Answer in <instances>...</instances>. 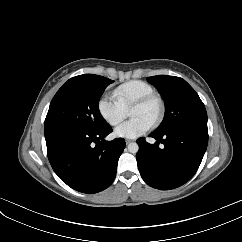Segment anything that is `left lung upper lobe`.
<instances>
[{
	"label": "left lung upper lobe",
	"instance_id": "left-lung-upper-lobe-1",
	"mask_svg": "<svg viewBox=\"0 0 242 242\" xmlns=\"http://www.w3.org/2000/svg\"><path fill=\"white\" fill-rule=\"evenodd\" d=\"M147 80L159 90L165 101L164 119L154 132L164 133L187 123H207L203 102L184 79L157 75Z\"/></svg>",
	"mask_w": 242,
	"mask_h": 242
}]
</instances>
